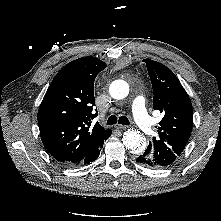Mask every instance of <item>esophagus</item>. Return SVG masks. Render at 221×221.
<instances>
[{"instance_id": "obj_1", "label": "esophagus", "mask_w": 221, "mask_h": 221, "mask_svg": "<svg viewBox=\"0 0 221 221\" xmlns=\"http://www.w3.org/2000/svg\"><path fill=\"white\" fill-rule=\"evenodd\" d=\"M115 127H116L117 129H120V130H123V129H126V128H127V126L121 125V124H116Z\"/></svg>"}]
</instances>
